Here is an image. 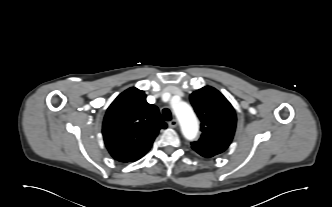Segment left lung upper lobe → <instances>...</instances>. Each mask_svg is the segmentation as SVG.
Listing matches in <instances>:
<instances>
[{"mask_svg":"<svg viewBox=\"0 0 332 207\" xmlns=\"http://www.w3.org/2000/svg\"><path fill=\"white\" fill-rule=\"evenodd\" d=\"M190 101L201 121V137L192 148L203 157H213L230 145L236 114L230 102L215 88L206 86L190 95Z\"/></svg>","mask_w":332,"mask_h":207,"instance_id":"5c2ea615","label":"left lung upper lobe"}]
</instances>
